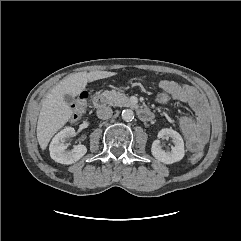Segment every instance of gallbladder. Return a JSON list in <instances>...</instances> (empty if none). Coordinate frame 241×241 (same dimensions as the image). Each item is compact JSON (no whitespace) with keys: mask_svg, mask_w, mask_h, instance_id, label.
Segmentation results:
<instances>
[{"mask_svg":"<svg viewBox=\"0 0 241 241\" xmlns=\"http://www.w3.org/2000/svg\"><path fill=\"white\" fill-rule=\"evenodd\" d=\"M64 100L68 105H71L74 102V97L70 94H65Z\"/></svg>","mask_w":241,"mask_h":241,"instance_id":"obj_1","label":"gallbladder"}]
</instances>
